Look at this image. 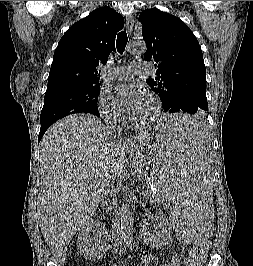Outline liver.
Listing matches in <instances>:
<instances>
[{
    "mask_svg": "<svg viewBox=\"0 0 253 266\" xmlns=\"http://www.w3.org/2000/svg\"><path fill=\"white\" fill-rule=\"evenodd\" d=\"M40 145L39 225L52 254L64 261L73 235L97 210L103 188L122 173L132 144L108 136L99 119L82 114L53 124Z\"/></svg>",
    "mask_w": 253,
    "mask_h": 266,
    "instance_id": "liver-1",
    "label": "liver"
}]
</instances>
